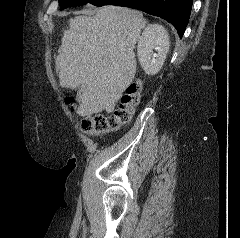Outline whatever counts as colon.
Returning a JSON list of instances; mask_svg holds the SVG:
<instances>
[{
  "label": "colon",
  "mask_w": 240,
  "mask_h": 238,
  "mask_svg": "<svg viewBox=\"0 0 240 238\" xmlns=\"http://www.w3.org/2000/svg\"><path fill=\"white\" fill-rule=\"evenodd\" d=\"M142 91L141 81L136 80L132 82L127 87L114 113L86 117L81 122L82 129L91 135H100L118 130L121 126L131 121L134 111L140 102ZM67 104L75 108V103L71 98L67 100Z\"/></svg>",
  "instance_id": "5ec220e1"
}]
</instances>
